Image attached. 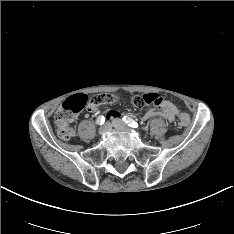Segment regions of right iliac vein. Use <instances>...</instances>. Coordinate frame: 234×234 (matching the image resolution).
Returning <instances> with one entry per match:
<instances>
[{
	"label": "right iliac vein",
	"mask_w": 234,
	"mask_h": 234,
	"mask_svg": "<svg viewBox=\"0 0 234 234\" xmlns=\"http://www.w3.org/2000/svg\"><path fill=\"white\" fill-rule=\"evenodd\" d=\"M110 130V124L106 123L99 129V134L104 135Z\"/></svg>",
	"instance_id": "obj_1"
}]
</instances>
